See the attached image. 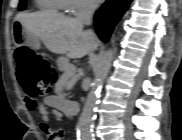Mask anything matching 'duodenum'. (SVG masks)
Instances as JSON below:
<instances>
[{
    "mask_svg": "<svg viewBox=\"0 0 182 140\" xmlns=\"http://www.w3.org/2000/svg\"><path fill=\"white\" fill-rule=\"evenodd\" d=\"M78 108L79 104L74 101H67L61 105V109L68 113L71 117L75 116Z\"/></svg>",
    "mask_w": 182,
    "mask_h": 140,
    "instance_id": "obj_1",
    "label": "duodenum"
}]
</instances>
